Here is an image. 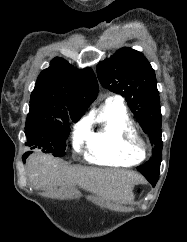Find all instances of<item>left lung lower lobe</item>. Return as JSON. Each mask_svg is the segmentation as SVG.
Returning a JSON list of instances; mask_svg holds the SVG:
<instances>
[{
  "label": "left lung lower lobe",
  "instance_id": "1",
  "mask_svg": "<svg viewBox=\"0 0 187 242\" xmlns=\"http://www.w3.org/2000/svg\"><path fill=\"white\" fill-rule=\"evenodd\" d=\"M146 178H147V180L151 183V185L153 186V187H155V185H156V182H157V180H158V176H155V175H146L145 176Z\"/></svg>",
  "mask_w": 187,
  "mask_h": 242
}]
</instances>
